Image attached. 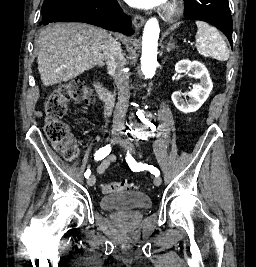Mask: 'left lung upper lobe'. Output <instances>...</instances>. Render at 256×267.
<instances>
[{"mask_svg":"<svg viewBox=\"0 0 256 267\" xmlns=\"http://www.w3.org/2000/svg\"><path fill=\"white\" fill-rule=\"evenodd\" d=\"M186 17L208 22L220 29L232 41V17L228 0H185Z\"/></svg>","mask_w":256,"mask_h":267,"instance_id":"left-lung-upper-lobe-1","label":"left lung upper lobe"}]
</instances>
